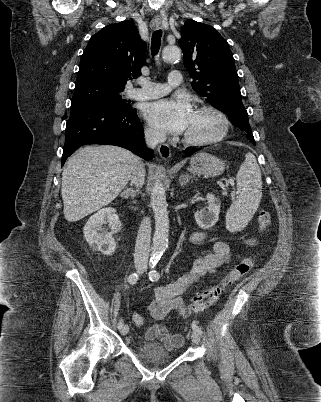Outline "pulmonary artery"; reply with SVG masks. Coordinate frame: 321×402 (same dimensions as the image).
I'll list each match as a JSON object with an SVG mask.
<instances>
[{"mask_svg":"<svg viewBox=\"0 0 321 402\" xmlns=\"http://www.w3.org/2000/svg\"><path fill=\"white\" fill-rule=\"evenodd\" d=\"M182 82V75L179 71H172L168 76V83H155L148 79H140L138 81L139 88L130 92V97L136 100L155 99L166 95L171 87L179 86Z\"/></svg>","mask_w":321,"mask_h":402,"instance_id":"obj_1","label":"pulmonary artery"}]
</instances>
